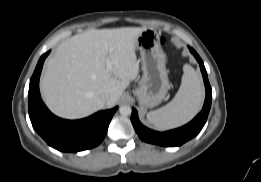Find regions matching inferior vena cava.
I'll use <instances>...</instances> for the list:
<instances>
[{
    "mask_svg": "<svg viewBox=\"0 0 261 182\" xmlns=\"http://www.w3.org/2000/svg\"><path fill=\"white\" fill-rule=\"evenodd\" d=\"M105 99L108 100L109 99V95L105 96Z\"/></svg>",
    "mask_w": 261,
    "mask_h": 182,
    "instance_id": "obj_1",
    "label": "inferior vena cava"
}]
</instances>
